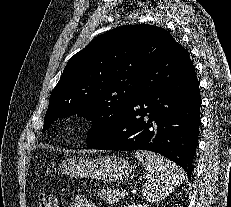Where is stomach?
Segmentation results:
<instances>
[{
  "instance_id": "0dacf381",
  "label": "stomach",
  "mask_w": 231,
  "mask_h": 207,
  "mask_svg": "<svg viewBox=\"0 0 231 207\" xmlns=\"http://www.w3.org/2000/svg\"><path fill=\"white\" fill-rule=\"evenodd\" d=\"M59 170L69 177L115 182L129 177L132 166L127 160L116 156L93 159L73 157L59 164Z\"/></svg>"
}]
</instances>
